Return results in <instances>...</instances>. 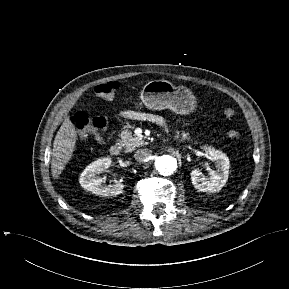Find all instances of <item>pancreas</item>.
Listing matches in <instances>:
<instances>
[{
	"label": "pancreas",
	"instance_id": "1",
	"mask_svg": "<svg viewBox=\"0 0 289 289\" xmlns=\"http://www.w3.org/2000/svg\"><path fill=\"white\" fill-rule=\"evenodd\" d=\"M121 140L120 144L125 148L126 152H131L135 150V148L141 146L144 144V141L141 137L135 136L132 134L130 130H123L120 134ZM180 137L179 131H176L175 139H178ZM190 137L187 133L181 134V141L183 140H189Z\"/></svg>",
	"mask_w": 289,
	"mask_h": 289
}]
</instances>
